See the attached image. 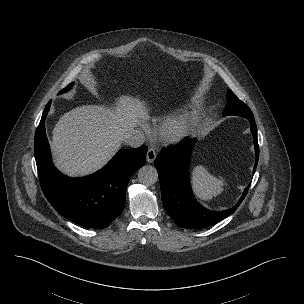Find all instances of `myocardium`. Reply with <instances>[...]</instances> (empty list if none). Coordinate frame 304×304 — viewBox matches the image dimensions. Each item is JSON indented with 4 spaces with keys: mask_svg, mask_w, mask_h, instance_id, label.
<instances>
[{
    "mask_svg": "<svg viewBox=\"0 0 304 304\" xmlns=\"http://www.w3.org/2000/svg\"><path fill=\"white\" fill-rule=\"evenodd\" d=\"M197 122L193 112L167 119L159 129V138L167 144H174L186 138Z\"/></svg>",
    "mask_w": 304,
    "mask_h": 304,
    "instance_id": "obj_1",
    "label": "myocardium"
}]
</instances>
